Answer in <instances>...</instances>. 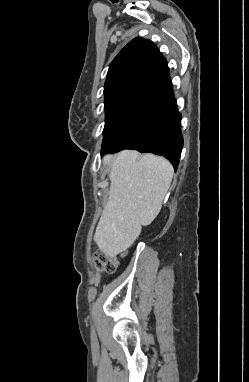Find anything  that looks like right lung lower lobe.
<instances>
[{"label": "right lung lower lobe", "instance_id": "1", "mask_svg": "<svg viewBox=\"0 0 249 382\" xmlns=\"http://www.w3.org/2000/svg\"><path fill=\"white\" fill-rule=\"evenodd\" d=\"M183 148L181 114L171 88L123 133L102 146L101 155L124 149L166 157L176 170Z\"/></svg>", "mask_w": 249, "mask_h": 382}]
</instances>
